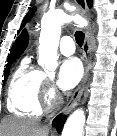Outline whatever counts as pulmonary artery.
<instances>
[{
    "instance_id": "e3ab8cb5",
    "label": "pulmonary artery",
    "mask_w": 117,
    "mask_h": 136,
    "mask_svg": "<svg viewBox=\"0 0 117 136\" xmlns=\"http://www.w3.org/2000/svg\"><path fill=\"white\" fill-rule=\"evenodd\" d=\"M59 49L63 55H72L75 52L74 40L69 36H63L59 44Z\"/></svg>"
}]
</instances>
